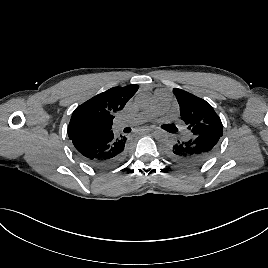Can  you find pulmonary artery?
Instances as JSON below:
<instances>
[{"label":"pulmonary artery","instance_id":"pulmonary-artery-1","mask_svg":"<svg viewBox=\"0 0 268 268\" xmlns=\"http://www.w3.org/2000/svg\"><path fill=\"white\" fill-rule=\"evenodd\" d=\"M170 101L171 95L169 93L158 90L155 92L152 100V105L148 109L140 112L133 119L124 117L119 122V126L149 121L156 115L164 113L168 109Z\"/></svg>","mask_w":268,"mask_h":268}]
</instances>
